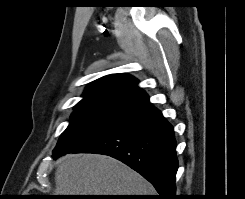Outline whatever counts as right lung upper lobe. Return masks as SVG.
<instances>
[{"label": "right lung upper lobe", "mask_w": 245, "mask_h": 199, "mask_svg": "<svg viewBox=\"0 0 245 199\" xmlns=\"http://www.w3.org/2000/svg\"><path fill=\"white\" fill-rule=\"evenodd\" d=\"M82 96L75 108L90 107L130 116L153 107L148 95L138 87V80L122 73L91 82Z\"/></svg>", "instance_id": "1"}]
</instances>
